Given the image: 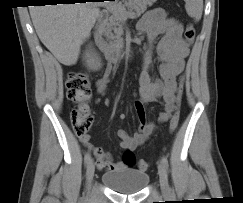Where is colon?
Here are the masks:
<instances>
[{
  "instance_id": "obj_1",
  "label": "colon",
  "mask_w": 243,
  "mask_h": 203,
  "mask_svg": "<svg viewBox=\"0 0 243 203\" xmlns=\"http://www.w3.org/2000/svg\"><path fill=\"white\" fill-rule=\"evenodd\" d=\"M196 31L192 24H187L184 30L186 42L191 45L195 39ZM67 97L70 101L77 104L71 112V121L74 133L79 137H84L92 126L94 121L93 114L86 106L91 95V88L88 75L82 71H72L68 74L66 83ZM182 92V83L178 90V101ZM179 124V113L176 112L170 120V130L174 132ZM122 162L126 166L135 164V157L131 150H125L122 154ZM137 167L140 170H146L149 164L146 160H139Z\"/></svg>"
}]
</instances>
